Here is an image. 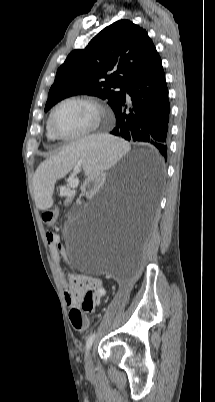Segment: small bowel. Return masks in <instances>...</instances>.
Here are the masks:
<instances>
[{"instance_id":"1","label":"small bowel","mask_w":215,"mask_h":402,"mask_svg":"<svg viewBox=\"0 0 215 402\" xmlns=\"http://www.w3.org/2000/svg\"><path fill=\"white\" fill-rule=\"evenodd\" d=\"M46 238L50 247L51 255L57 266L67 305L69 307H77L79 304L82 305L84 298L88 293H90L94 309L106 294L102 280L79 274H70L68 278H65L59 265L61 257L66 254L60 236L56 232L48 231L46 233Z\"/></svg>"}]
</instances>
